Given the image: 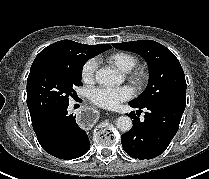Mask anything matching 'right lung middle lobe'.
Instances as JSON below:
<instances>
[{
    "instance_id": "obj_1",
    "label": "right lung middle lobe",
    "mask_w": 209,
    "mask_h": 179,
    "mask_svg": "<svg viewBox=\"0 0 209 179\" xmlns=\"http://www.w3.org/2000/svg\"><path fill=\"white\" fill-rule=\"evenodd\" d=\"M104 50L84 53L66 60L33 62L27 79V106L32 122L76 96L82 68L89 58Z\"/></svg>"
}]
</instances>
